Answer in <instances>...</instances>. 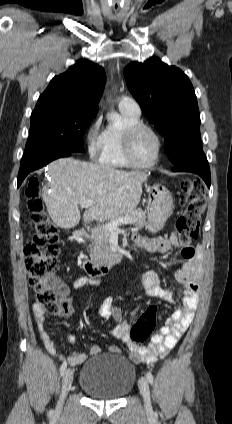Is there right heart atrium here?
<instances>
[{
  "mask_svg": "<svg viewBox=\"0 0 232 424\" xmlns=\"http://www.w3.org/2000/svg\"><path fill=\"white\" fill-rule=\"evenodd\" d=\"M101 119L100 117L94 118L88 125L85 132V141L87 151L90 157H96L101 151L102 141L101 133L99 132Z\"/></svg>",
  "mask_w": 232,
  "mask_h": 424,
  "instance_id": "1",
  "label": "right heart atrium"
}]
</instances>
